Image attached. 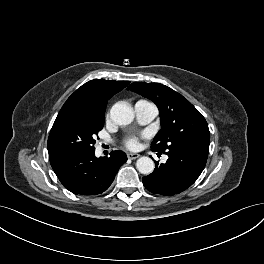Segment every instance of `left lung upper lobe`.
Returning a JSON list of instances; mask_svg holds the SVG:
<instances>
[{
	"label": "left lung upper lobe",
	"instance_id": "left-lung-upper-lobe-1",
	"mask_svg": "<svg viewBox=\"0 0 264 264\" xmlns=\"http://www.w3.org/2000/svg\"><path fill=\"white\" fill-rule=\"evenodd\" d=\"M127 89L152 100L159 108L162 128L151 144L153 151L166 153L187 146L209 152L208 124L182 95L159 83L134 82Z\"/></svg>",
	"mask_w": 264,
	"mask_h": 264
}]
</instances>
